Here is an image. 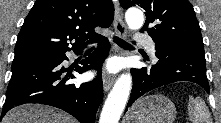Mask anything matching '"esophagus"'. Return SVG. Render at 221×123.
Listing matches in <instances>:
<instances>
[{
	"label": "esophagus",
	"instance_id": "1",
	"mask_svg": "<svg viewBox=\"0 0 221 123\" xmlns=\"http://www.w3.org/2000/svg\"><path fill=\"white\" fill-rule=\"evenodd\" d=\"M114 30L117 36L125 38L126 37V26L122 19L121 9L119 7V4H115L114 8ZM114 51L118 52L117 45H114ZM115 77L113 75H110L109 73H106L103 77V87L104 91L107 92L110 90L114 83Z\"/></svg>",
	"mask_w": 221,
	"mask_h": 123
}]
</instances>
